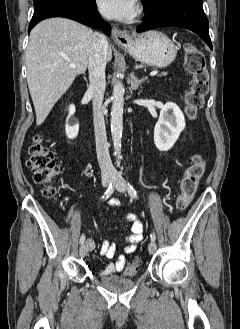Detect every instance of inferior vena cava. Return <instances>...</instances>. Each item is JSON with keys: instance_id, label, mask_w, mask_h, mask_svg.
<instances>
[{"instance_id": "obj_1", "label": "inferior vena cava", "mask_w": 240, "mask_h": 329, "mask_svg": "<svg viewBox=\"0 0 240 329\" xmlns=\"http://www.w3.org/2000/svg\"><path fill=\"white\" fill-rule=\"evenodd\" d=\"M107 48L108 41L106 36L104 34L94 33L88 59L90 82L88 91L92 95L96 152L102 175H112L116 172L109 154L104 110L102 107L106 87L105 68Z\"/></svg>"}]
</instances>
